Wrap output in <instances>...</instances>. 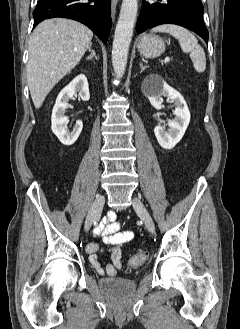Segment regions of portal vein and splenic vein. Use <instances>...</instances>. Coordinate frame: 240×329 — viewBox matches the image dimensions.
Instances as JSON below:
<instances>
[{
    "label": "portal vein and splenic vein",
    "instance_id": "1",
    "mask_svg": "<svg viewBox=\"0 0 240 329\" xmlns=\"http://www.w3.org/2000/svg\"><path fill=\"white\" fill-rule=\"evenodd\" d=\"M164 61H165V63H168V62L170 61V58H169V57H166V58L164 59Z\"/></svg>",
    "mask_w": 240,
    "mask_h": 329
}]
</instances>
